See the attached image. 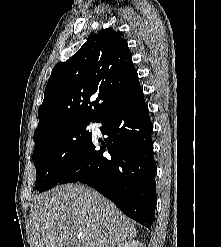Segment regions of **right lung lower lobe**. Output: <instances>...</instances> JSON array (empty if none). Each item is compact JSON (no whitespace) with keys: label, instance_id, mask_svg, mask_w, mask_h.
Returning a JSON list of instances; mask_svg holds the SVG:
<instances>
[{"label":"right lung lower lobe","instance_id":"98d812e1","mask_svg":"<svg viewBox=\"0 0 221 247\" xmlns=\"http://www.w3.org/2000/svg\"><path fill=\"white\" fill-rule=\"evenodd\" d=\"M96 122L108 137L91 139L58 184L85 183L128 217L150 229L156 207V163L143 90L121 101ZM99 143L102 145L99 146Z\"/></svg>","mask_w":221,"mask_h":247}]
</instances>
